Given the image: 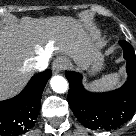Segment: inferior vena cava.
Instances as JSON below:
<instances>
[{"mask_svg": "<svg viewBox=\"0 0 136 136\" xmlns=\"http://www.w3.org/2000/svg\"><path fill=\"white\" fill-rule=\"evenodd\" d=\"M48 66V57L46 56H37L32 62V67L38 71L46 69Z\"/></svg>", "mask_w": 136, "mask_h": 136, "instance_id": "obj_1", "label": "inferior vena cava"}]
</instances>
